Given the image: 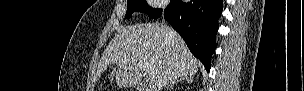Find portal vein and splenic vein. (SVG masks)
<instances>
[{
    "label": "portal vein and splenic vein",
    "mask_w": 304,
    "mask_h": 91,
    "mask_svg": "<svg viewBox=\"0 0 304 91\" xmlns=\"http://www.w3.org/2000/svg\"><path fill=\"white\" fill-rule=\"evenodd\" d=\"M140 65L147 75L150 76L152 74V72L150 71V67L146 63L141 62Z\"/></svg>",
    "instance_id": "18ae733b"
}]
</instances>
